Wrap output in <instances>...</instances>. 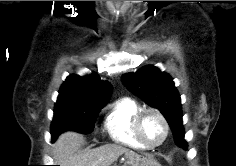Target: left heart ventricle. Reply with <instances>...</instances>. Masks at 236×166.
<instances>
[{"mask_svg": "<svg viewBox=\"0 0 236 166\" xmlns=\"http://www.w3.org/2000/svg\"><path fill=\"white\" fill-rule=\"evenodd\" d=\"M142 135L150 144L158 143L164 136V126L154 114L148 113L142 121Z\"/></svg>", "mask_w": 236, "mask_h": 166, "instance_id": "obj_1", "label": "left heart ventricle"}]
</instances>
